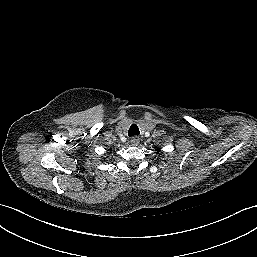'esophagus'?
I'll return each mask as SVG.
<instances>
[{"label": "esophagus", "mask_w": 257, "mask_h": 257, "mask_svg": "<svg viewBox=\"0 0 257 257\" xmlns=\"http://www.w3.org/2000/svg\"><path fill=\"white\" fill-rule=\"evenodd\" d=\"M139 143H140V138H139V137L134 136V137L131 139V144H132L133 146H137Z\"/></svg>", "instance_id": "esophagus-1"}]
</instances>
